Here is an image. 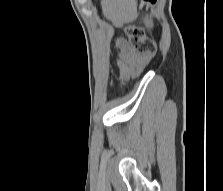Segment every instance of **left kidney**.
Here are the masks:
<instances>
[{"label":"left kidney","instance_id":"1","mask_svg":"<svg viewBox=\"0 0 223 191\" xmlns=\"http://www.w3.org/2000/svg\"><path fill=\"white\" fill-rule=\"evenodd\" d=\"M147 25L151 27L152 26L151 21H148Z\"/></svg>","mask_w":223,"mask_h":191}]
</instances>
